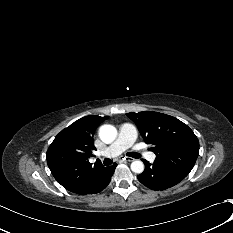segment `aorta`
Segmentation results:
<instances>
[{"label": "aorta", "mask_w": 233, "mask_h": 233, "mask_svg": "<svg viewBox=\"0 0 233 233\" xmlns=\"http://www.w3.org/2000/svg\"><path fill=\"white\" fill-rule=\"evenodd\" d=\"M116 136L117 129L113 125L105 124L99 128V137L106 144L112 143L116 139ZM131 170L137 174L142 173L144 171L143 162L141 160L133 161L131 163Z\"/></svg>", "instance_id": "aorta-1"}]
</instances>
